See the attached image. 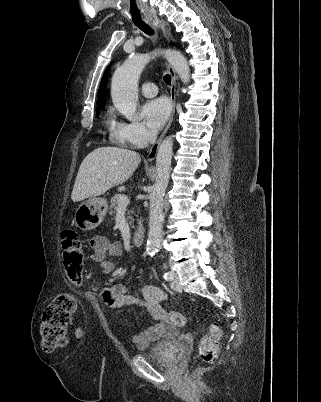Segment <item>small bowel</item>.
<instances>
[{
	"label": "small bowel",
	"instance_id": "obj_1",
	"mask_svg": "<svg viewBox=\"0 0 321 402\" xmlns=\"http://www.w3.org/2000/svg\"><path fill=\"white\" fill-rule=\"evenodd\" d=\"M90 245L99 270L106 274L112 272L114 264L108 257L121 256L122 244L119 241H110L106 236L96 235L91 238ZM138 292L139 297L132 296L125 285L115 284L103 288L101 298L109 308L136 305L147 311L151 318L157 321L144 332L132 336V341L138 348L146 349L161 338L174 335L177 323L173 317L176 313L169 311L164 306L166 294L160 287L152 284L144 285L138 289Z\"/></svg>",
	"mask_w": 321,
	"mask_h": 402
}]
</instances>
